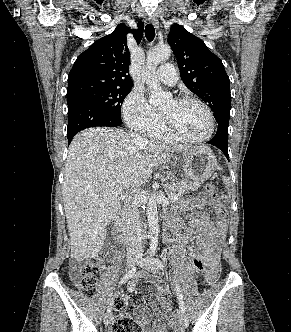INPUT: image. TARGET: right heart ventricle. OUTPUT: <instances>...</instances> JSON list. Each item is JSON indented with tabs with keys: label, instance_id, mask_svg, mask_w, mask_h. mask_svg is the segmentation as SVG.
<instances>
[{
	"label": "right heart ventricle",
	"instance_id": "obj_1",
	"mask_svg": "<svg viewBox=\"0 0 291 332\" xmlns=\"http://www.w3.org/2000/svg\"><path fill=\"white\" fill-rule=\"evenodd\" d=\"M149 137L159 141H175L176 139L173 138L171 135L167 133L163 126H160L154 131L148 133Z\"/></svg>",
	"mask_w": 291,
	"mask_h": 332
}]
</instances>
